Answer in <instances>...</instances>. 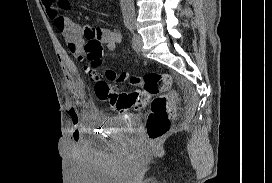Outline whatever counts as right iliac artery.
Returning <instances> with one entry per match:
<instances>
[{"label": "right iliac artery", "mask_w": 272, "mask_h": 183, "mask_svg": "<svg viewBox=\"0 0 272 183\" xmlns=\"http://www.w3.org/2000/svg\"><path fill=\"white\" fill-rule=\"evenodd\" d=\"M127 28L130 29V28H131V25H127Z\"/></svg>", "instance_id": "1"}]
</instances>
